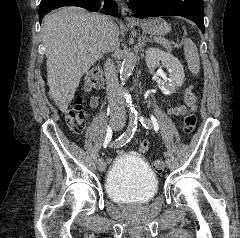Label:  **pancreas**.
Instances as JSON below:
<instances>
[{
    "instance_id": "obj_1",
    "label": "pancreas",
    "mask_w": 240,
    "mask_h": 238,
    "mask_svg": "<svg viewBox=\"0 0 240 238\" xmlns=\"http://www.w3.org/2000/svg\"><path fill=\"white\" fill-rule=\"evenodd\" d=\"M157 42L160 43L161 45H163V47L167 51H169V52L172 51V46H171V44H170V42L168 40H166V39H158Z\"/></svg>"
}]
</instances>
